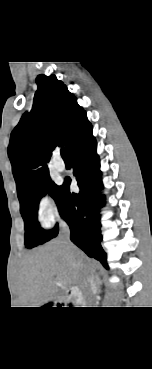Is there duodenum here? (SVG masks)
Masks as SVG:
<instances>
[{
    "instance_id": "duodenum-1",
    "label": "duodenum",
    "mask_w": 152,
    "mask_h": 369,
    "mask_svg": "<svg viewBox=\"0 0 152 369\" xmlns=\"http://www.w3.org/2000/svg\"><path fill=\"white\" fill-rule=\"evenodd\" d=\"M67 298L70 301L76 302V303H83L84 301V296L82 294V292L77 289V288H72L70 290L67 291Z\"/></svg>"
}]
</instances>
